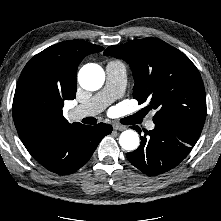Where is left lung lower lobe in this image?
<instances>
[{
	"label": "left lung lower lobe",
	"mask_w": 221,
	"mask_h": 221,
	"mask_svg": "<svg viewBox=\"0 0 221 221\" xmlns=\"http://www.w3.org/2000/svg\"><path fill=\"white\" fill-rule=\"evenodd\" d=\"M141 133L138 126H133ZM201 131L185 127L155 124L145 131L138 149L127 153L132 165L147 175H159L177 166L196 144ZM147 136V138H146Z\"/></svg>",
	"instance_id": "obj_1"
}]
</instances>
